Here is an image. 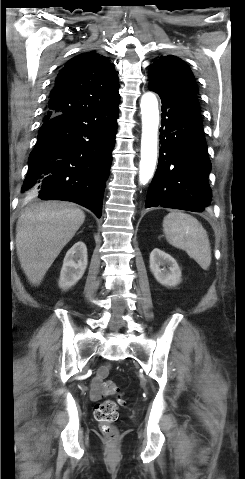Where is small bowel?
Returning <instances> with one entry per match:
<instances>
[{
    "mask_svg": "<svg viewBox=\"0 0 245 479\" xmlns=\"http://www.w3.org/2000/svg\"><path fill=\"white\" fill-rule=\"evenodd\" d=\"M109 373L108 366L98 369L96 376L92 379L90 385V397L92 400H99L104 395L103 381Z\"/></svg>",
    "mask_w": 245,
    "mask_h": 479,
    "instance_id": "c3829d8e",
    "label": "small bowel"
}]
</instances>
